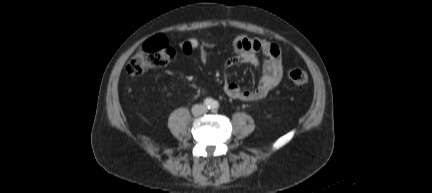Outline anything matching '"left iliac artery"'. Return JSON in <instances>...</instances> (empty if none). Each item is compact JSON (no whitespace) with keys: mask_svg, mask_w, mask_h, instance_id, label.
Returning <instances> with one entry per match:
<instances>
[{"mask_svg":"<svg viewBox=\"0 0 432 193\" xmlns=\"http://www.w3.org/2000/svg\"><path fill=\"white\" fill-rule=\"evenodd\" d=\"M219 108V103L217 101H213L211 109L215 112Z\"/></svg>","mask_w":432,"mask_h":193,"instance_id":"1","label":"left iliac artery"}]
</instances>
